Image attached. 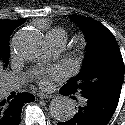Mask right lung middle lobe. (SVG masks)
Wrapping results in <instances>:
<instances>
[{"instance_id":"dd1d6c3e","label":"right lung middle lobe","mask_w":125,"mask_h":125,"mask_svg":"<svg viewBox=\"0 0 125 125\" xmlns=\"http://www.w3.org/2000/svg\"><path fill=\"white\" fill-rule=\"evenodd\" d=\"M9 37H0V63L7 64L10 57ZM6 66V65H4Z\"/></svg>"}]
</instances>
